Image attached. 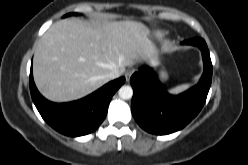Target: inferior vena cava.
<instances>
[{
	"instance_id": "602c4592",
	"label": "inferior vena cava",
	"mask_w": 248,
	"mask_h": 165,
	"mask_svg": "<svg viewBox=\"0 0 248 165\" xmlns=\"http://www.w3.org/2000/svg\"><path fill=\"white\" fill-rule=\"evenodd\" d=\"M122 74H123V71H120L118 69H114L111 72H109V74L107 75V77H108L109 80H113L115 78H118Z\"/></svg>"
}]
</instances>
